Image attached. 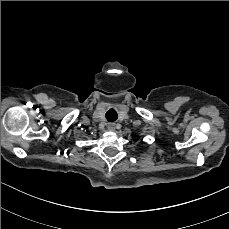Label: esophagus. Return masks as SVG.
<instances>
[{
  "label": "esophagus",
  "instance_id": "1",
  "mask_svg": "<svg viewBox=\"0 0 229 229\" xmlns=\"http://www.w3.org/2000/svg\"><path fill=\"white\" fill-rule=\"evenodd\" d=\"M107 128L110 130V131H114L115 130V124L114 123H109Z\"/></svg>",
  "mask_w": 229,
  "mask_h": 229
}]
</instances>
